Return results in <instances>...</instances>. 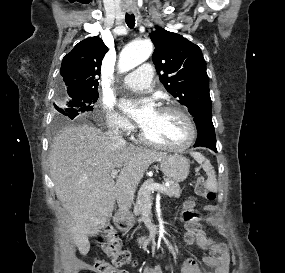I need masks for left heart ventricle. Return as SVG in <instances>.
<instances>
[{
    "mask_svg": "<svg viewBox=\"0 0 285 273\" xmlns=\"http://www.w3.org/2000/svg\"><path fill=\"white\" fill-rule=\"evenodd\" d=\"M142 128L148 138L163 144H179L188 135L183 118L171 111L158 110L154 118Z\"/></svg>",
    "mask_w": 285,
    "mask_h": 273,
    "instance_id": "1",
    "label": "left heart ventricle"
}]
</instances>
